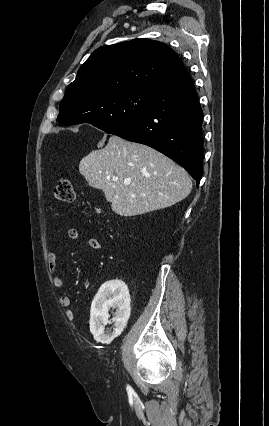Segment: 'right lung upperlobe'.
I'll return each instance as SVG.
<instances>
[{
  "instance_id": "cb5924a9",
  "label": "right lung upper lobe",
  "mask_w": 269,
  "mask_h": 426,
  "mask_svg": "<svg viewBox=\"0 0 269 426\" xmlns=\"http://www.w3.org/2000/svg\"><path fill=\"white\" fill-rule=\"evenodd\" d=\"M186 76L184 65L166 44L134 39L95 50L68 85L65 96L92 98L134 89L156 92Z\"/></svg>"
}]
</instances>
